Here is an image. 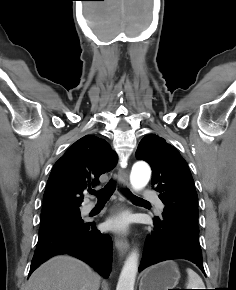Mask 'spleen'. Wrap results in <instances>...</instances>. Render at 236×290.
<instances>
[{"label": "spleen", "mask_w": 236, "mask_h": 290, "mask_svg": "<svg viewBox=\"0 0 236 290\" xmlns=\"http://www.w3.org/2000/svg\"><path fill=\"white\" fill-rule=\"evenodd\" d=\"M188 282H187V289H205V285L201 277L192 269L188 268Z\"/></svg>", "instance_id": "3e777b00"}]
</instances>
